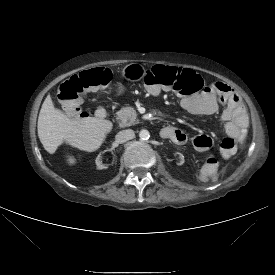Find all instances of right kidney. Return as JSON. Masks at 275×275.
<instances>
[{
  "label": "right kidney",
  "mask_w": 275,
  "mask_h": 275,
  "mask_svg": "<svg viewBox=\"0 0 275 275\" xmlns=\"http://www.w3.org/2000/svg\"><path fill=\"white\" fill-rule=\"evenodd\" d=\"M114 155L110 152H102L99 153L96 157V166L98 169L109 168L111 163L114 162Z\"/></svg>",
  "instance_id": "ca27d5eb"
}]
</instances>
